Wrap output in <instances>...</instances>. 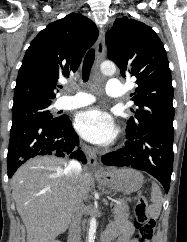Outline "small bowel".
Returning a JSON list of instances; mask_svg holds the SVG:
<instances>
[{
  "instance_id": "obj_1",
  "label": "small bowel",
  "mask_w": 187,
  "mask_h": 242,
  "mask_svg": "<svg viewBox=\"0 0 187 242\" xmlns=\"http://www.w3.org/2000/svg\"><path fill=\"white\" fill-rule=\"evenodd\" d=\"M113 237H118V242H134L131 237L134 233L133 225L127 220H118L112 223L105 232Z\"/></svg>"
}]
</instances>
